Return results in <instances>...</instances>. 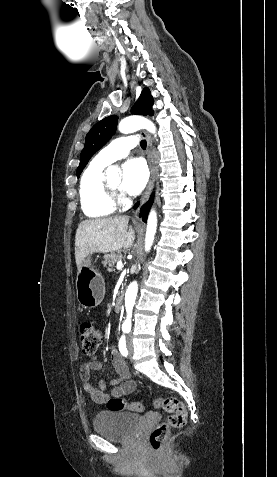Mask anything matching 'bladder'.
<instances>
[{"label":"bladder","mask_w":277,"mask_h":477,"mask_svg":"<svg viewBox=\"0 0 277 477\" xmlns=\"http://www.w3.org/2000/svg\"><path fill=\"white\" fill-rule=\"evenodd\" d=\"M138 414L122 411L99 413L93 421L96 433L111 441H125L132 438L141 424Z\"/></svg>","instance_id":"bladder-1"}]
</instances>
